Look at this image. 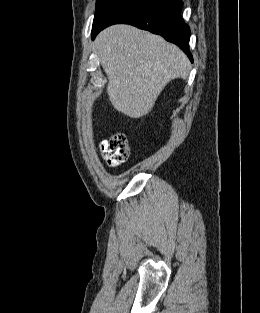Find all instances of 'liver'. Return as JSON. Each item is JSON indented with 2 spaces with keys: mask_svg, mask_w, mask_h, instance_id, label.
Wrapping results in <instances>:
<instances>
[{
  "mask_svg": "<svg viewBox=\"0 0 260 313\" xmlns=\"http://www.w3.org/2000/svg\"><path fill=\"white\" fill-rule=\"evenodd\" d=\"M112 106L132 118L147 114L164 87L186 78L187 56L162 37L130 25H113L95 40Z\"/></svg>",
  "mask_w": 260,
  "mask_h": 313,
  "instance_id": "1",
  "label": "liver"
}]
</instances>
